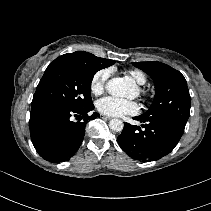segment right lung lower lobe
Instances as JSON below:
<instances>
[{"label": "right lung lower lobe", "mask_w": 211, "mask_h": 211, "mask_svg": "<svg viewBox=\"0 0 211 211\" xmlns=\"http://www.w3.org/2000/svg\"><path fill=\"white\" fill-rule=\"evenodd\" d=\"M93 109V103L79 110L57 107L31 109L30 135L38 154L52 163L69 160L82 143L86 123L99 116L96 112L89 115ZM73 116L79 121H72Z\"/></svg>", "instance_id": "right-lung-lower-lobe-1"}]
</instances>
